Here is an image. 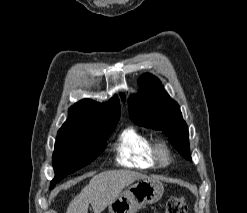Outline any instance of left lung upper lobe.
I'll use <instances>...</instances> for the list:
<instances>
[{
    "label": "left lung upper lobe",
    "instance_id": "left-lung-upper-lobe-1",
    "mask_svg": "<svg viewBox=\"0 0 247 213\" xmlns=\"http://www.w3.org/2000/svg\"><path fill=\"white\" fill-rule=\"evenodd\" d=\"M140 93L129 100L130 118L137 125L161 130L169 136L170 143L190 160L188 127L180 107L161 87L159 80L144 74L140 77ZM124 100V95L121 94Z\"/></svg>",
    "mask_w": 247,
    "mask_h": 213
}]
</instances>
